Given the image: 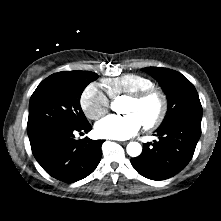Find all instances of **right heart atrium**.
I'll return each mask as SVG.
<instances>
[{"mask_svg":"<svg viewBox=\"0 0 221 221\" xmlns=\"http://www.w3.org/2000/svg\"><path fill=\"white\" fill-rule=\"evenodd\" d=\"M80 107L87 118L97 120L108 112L110 101L96 83H90L80 95Z\"/></svg>","mask_w":221,"mask_h":221,"instance_id":"d8ad5b80","label":"right heart atrium"}]
</instances>
